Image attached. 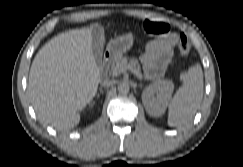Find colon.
I'll return each instance as SVG.
<instances>
[{"label":"colon","mask_w":243,"mask_h":167,"mask_svg":"<svg viewBox=\"0 0 243 167\" xmlns=\"http://www.w3.org/2000/svg\"><path fill=\"white\" fill-rule=\"evenodd\" d=\"M143 30L148 35H161L168 30V24L161 20L146 19L142 23ZM178 47L181 54L187 57L190 53V46L187 36L184 33L179 35Z\"/></svg>","instance_id":"obj_1"}]
</instances>
